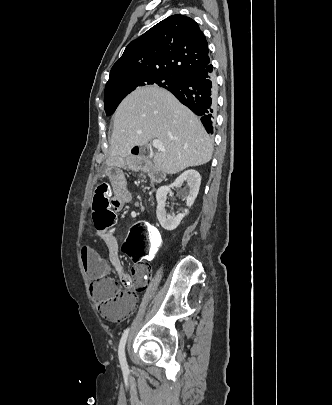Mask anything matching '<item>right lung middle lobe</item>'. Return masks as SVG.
<instances>
[{"mask_svg": "<svg viewBox=\"0 0 332 405\" xmlns=\"http://www.w3.org/2000/svg\"><path fill=\"white\" fill-rule=\"evenodd\" d=\"M182 77L170 74L135 73L120 76L106 84L104 105L106 115H111L120 102L135 88L146 85H158L165 89L177 85Z\"/></svg>", "mask_w": 332, "mask_h": 405, "instance_id": "right-lung-middle-lobe-1", "label": "right lung middle lobe"}]
</instances>
